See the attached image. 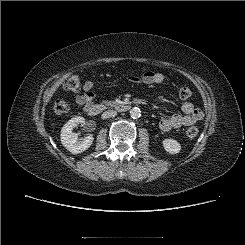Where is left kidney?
<instances>
[{"mask_svg":"<svg viewBox=\"0 0 245 245\" xmlns=\"http://www.w3.org/2000/svg\"><path fill=\"white\" fill-rule=\"evenodd\" d=\"M162 143L165 151L169 154H177L181 150L180 144L174 139L167 138L164 139Z\"/></svg>","mask_w":245,"mask_h":245,"instance_id":"left-kidney-1","label":"left kidney"}]
</instances>
